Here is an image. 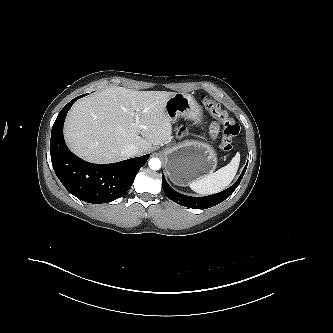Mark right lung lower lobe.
Masks as SVG:
<instances>
[{
    "instance_id": "98d812e1",
    "label": "right lung lower lobe",
    "mask_w": 333,
    "mask_h": 333,
    "mask_svg": "<svg viewBox=\"0 0 333 333\" xmlns=\"http://www.w3.org/2000/svg\"><path fill=\"white\" fill-rule=\"evenodd\" d=\"M78 96L59 113L51 132L50 154L54 171L64 187L89 203H106L122 197L132 186L137 172L149 154L113 164H92L74 155L63 138L67 112Z\"/></svg>"
}]
</instances>
